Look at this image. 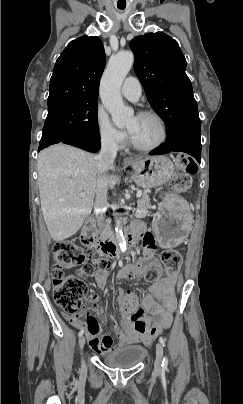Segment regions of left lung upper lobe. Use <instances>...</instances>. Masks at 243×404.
Instances as JSON below:
<instances>
[{"label": "left lung upper lobe", "mask_w": 243, "mask_h": 404, "mask_svg": "<svg viewBox=\"0 0 243 404\" xmlns=\"http://www.w3.org/2000/svg\"><path fill=\"white\" fill-rule=\"evenodd\" d=\"M134 71L148 101L164 120L167 133L181 124H201L186 59L178 43L162 32L137 36L130 42Z\"/></svg>", "instance_id": "left-lung-upper-lobe-1"}]
</instances>
